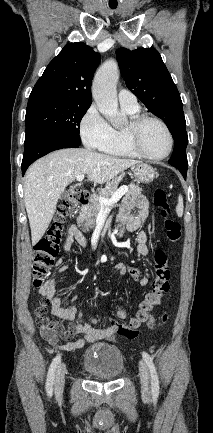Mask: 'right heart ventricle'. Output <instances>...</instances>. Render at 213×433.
<instances>
[{
    "label": "right heart ventricle",
    "mask_w": 213,
    "mask_h": 433,
    "mask_svg": "<svg viewBox=\"0 0 213 433\" xmlns=\"http://www.w3.org/2000/svg\"><path fill=\"white\" fill-rule=\"evenodd\" d=\"M122 109L131 118L139 114V108L130 109L122 106ZM100 150L113 156L138 157V155L127 144L124 128L111 127L110 135Z\"/></svg>",
    "instance_id": "1"
}]
</instances>
